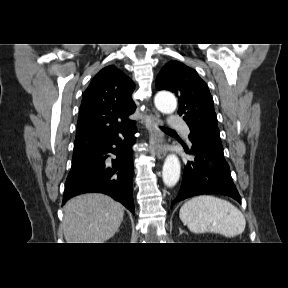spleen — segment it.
I'll list each match as a JSON object with an SVG mask.
<instances>
[{
    "instance_id": "1",
    "label": "spleen",
    "mask_w": 288,
    "mask_h": 288,
    "mask_svg": "<svg viewBox=\"0 0 288 288\" xmlns=\"http://www.w3.org/2000/svg\"><path fill=\"white\" fill-rule=\"evenodd\" d=\"M179 217L196 234L211 232L234 237L246 226V219L237 207L210 195H200L184 203Z\"/></svg>"
}]
</instances>
